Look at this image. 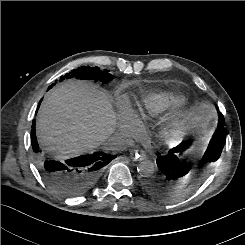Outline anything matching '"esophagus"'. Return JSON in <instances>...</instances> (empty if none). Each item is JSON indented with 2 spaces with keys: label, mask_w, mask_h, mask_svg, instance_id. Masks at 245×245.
<instances>
[{
  "label": "esophagus",
  "mask_w": 245,
  "mask_h": 245,
  "mask_svg": "<svg viewBox=\"0 0 245 245\" xmlns=\"http://www.w3.org/2000/svg\"><path fill=\"white\" fill-rule=\"evenodd\" d=\"M130 156L134 160L142 161L145 160L147 155L144 151H137V150H131L130 151Z\"/></svg>",
  "instance_id": "obj_1"
}]
</instances>
